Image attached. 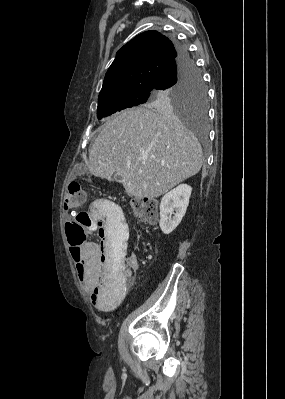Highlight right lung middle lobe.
<instances>
[{
  "mask_svg": "<svg viewBox=\"0 0 285 399\" xmlns=\"http://www.w3.org/2000/svg\"><path fill=\"white\" fill-rule=\"evenodd\" d=\"M138 105L172 114L175 111L203 125L207 117V93L202 76L194 65L176 83L164 89H133L99 97L97 117L102 119Z\"/></svg>",
  "mask_w": 285,
  "mask_h": 399,
  "instance_id": "right-lung-middle-lobe-1",
  "label": "right lung middle lobe"
}]
</instances>
